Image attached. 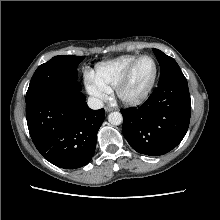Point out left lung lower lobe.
<instances>
[{
  "instance_id": "obj_1",
  "label": "left lung lower lobe",
  "mask_w": 220,
  "mask_h": 220,
  "mask_svg": "<svg viewBox=\"0 0 220 220\" xmlns=\"http://www.w3.org/2000/svg\"><path fill=\"white\" fill-rule=\"evenodd\" d=\"M121 113L122 133L135 151L166 154L182 141L189 127L191 100L185 76L158 83L143 105Z\"/></svg>"
}]
</instances>
